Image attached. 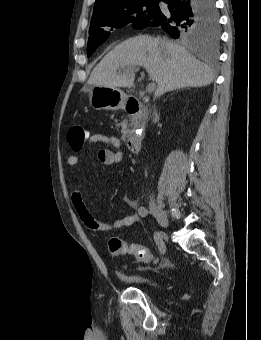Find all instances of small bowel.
I'll return each instance as SVG.
<instances>
[{
  "label": "small bowel",
  "mask_w": 261,
  "mask_h": 340,
  "mask_svg": "<svg viewBox=\"0 0 261 340\" xmlns=\"http://www.w3.org/2000/svg\"><path fill=\"white\" fill-rule=\"evenodd\" d=\"M86 141L89 144L102 143L107 146V148H101L98 151V159L104 165L111 166L118 164L124 157V153L121 150V142L116 136L87 132ZM82 162H84V160L78 155H71L68 158V163L71 166H78ZM70 199L82 223L90 230L96 232H111L123 227H129L139 219V212H134L113 222L100 221L88 208L79 190H73ZM126 202L131 206L136 205V202L128 197L126 198Z\"/></svg>",
  "instance_id": "c3829d8e"
}]
</instances>
